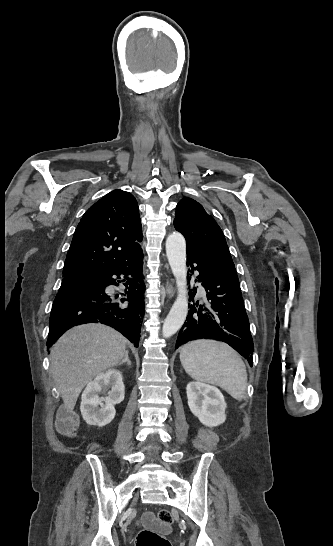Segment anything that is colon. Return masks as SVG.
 <instances>
[{"label": "colon", "instance_id": "1", "mask_svg": "<svg viewBox=\"0 0 333 546\" xmlns=\"http://www.w3.org/2000/svg\"><path fill=\"white\" fill-rule=\"evenodd\" d=\"M157 518L162 524H171L173 515L168 509H161L157 513ZM137 546H170L169 541L150 529H143L137 535Z\"/></svg>", "mask_w": 333, "mask_h": 546}]
</instances>
